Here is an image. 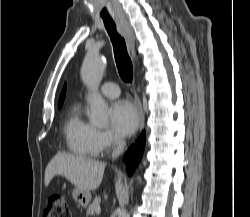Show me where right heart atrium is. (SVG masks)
Instances as JSON below:
<instances>
[{
	"instance_id": "1",
	"label": "right heart atrium",
	"mask_w": 250,
	"mask_h": 217,
	"mask_svg": "<svg viewBox=\"0 0 250 217\" xmlns=\"http://www.w3.org/2000/svg\"><path fill=\"white\" fill-rule=\"evenodd\" d=\"M122 144V140L114 133L96 130L94 146L97 154H103Z\"/></svg>"
}]
</instances>
